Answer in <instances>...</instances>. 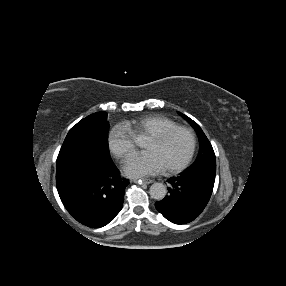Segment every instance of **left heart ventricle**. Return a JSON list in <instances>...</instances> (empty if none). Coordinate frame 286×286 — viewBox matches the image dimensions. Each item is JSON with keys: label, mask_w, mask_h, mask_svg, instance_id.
I'll use <instances>...</instances> for the list:
<instances>
[{"label": "left heart ventricle", "mask_w": 286, "mask_h": 286, "mask_svg": "<svg viewBox=\"0 0 286 286\" xmlns=\"http://www.w3.org/2000/svg\"><path fill=\"white\" fill-rule=\"evenodd\" d=\"M144 148L152 152L163 168L182 162L188 155L191 146V135L186 131H180L163 141L147 139Z\"/></svg>", "instance_id": "1"}]
</instances>
